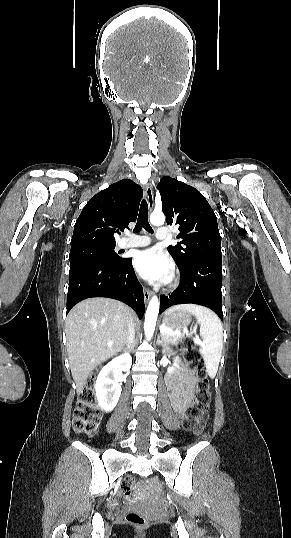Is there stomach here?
<instances>
[{
    "mask_svg": "<svg viewBox=\"0 0 291 538\" xmlns=\"http://www.w3.org/2000/svg\"><path fill=\"white\" fill-rule=\"evenodd\" d=\"M191 322V315L187 311L166 312L163 317V325L172 330L187 328Z\"/></svg>",
    "mask_w": 291,
    "mask_h": 538,
    "instance_id": "0dacf381",
    "label": "stomach"
}]
</instances>
